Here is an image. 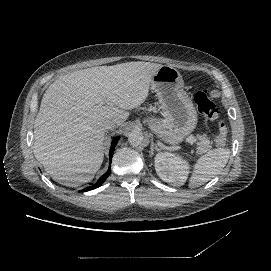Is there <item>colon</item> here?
<instances>
[{
	"label": "colon",
	"mask_w": 271,
	"mask_h": 271,
	"mask_svg": "<svg viewBox=\"0 0 271 271\" xmlns=\"http://www.w3.org/2000/svg\"><path fill=\"white\" fill-rule=\"evenodd\" d=\"M194 101L198 111L205 120L216 121L218 123L217 133L215 136V144L217 146H224L227 141V127L221 120L220 113L215 103L211 100L208 90L203 88L196 92Z\"/></svg>",
	"instance_id": "obj_1"
}]
</instances>
